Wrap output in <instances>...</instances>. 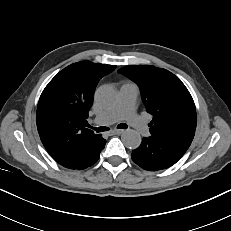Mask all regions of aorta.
<instances>
[{"label":"aorta","mask_w":231,"mask_h":231,"mask_svg":"<svg viewBox=\"0 0 231 231\" xmlns=\"http://www.w3.org/2000/svg\"><path fill=\"white\" fill-rule=\"evenodd\" d=\"M95 99L103 107H109L116 103L117 92L109 85L101 86L95 93ZM124 145L129 149H136L140 146L142 139L140 134L135 130H127L122 135Z\"/></svg>","instance_id":"1"}]
</instances>
